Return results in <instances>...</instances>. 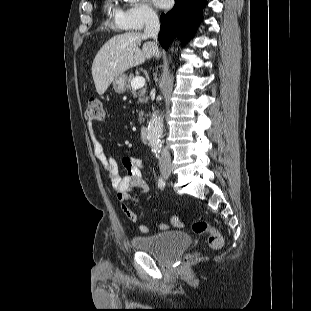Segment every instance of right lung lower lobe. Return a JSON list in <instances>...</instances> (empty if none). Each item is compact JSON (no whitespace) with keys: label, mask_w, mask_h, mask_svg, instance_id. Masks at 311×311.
<instances>
[{"label":"right lung lower lobe","mask_w":311,"mask_h":311,"mask_svg":"<svg viewBox=\"0 0 311 311\" xmlns=\"http://www.w3.org/2000/svg\"><path fill=\"white\" fill-rule=\"evenodd\" d=\"M207 0H175V6L166 14H161L159 42L167 50L171 40L177 36L185 42L195 33L202 20V10Z\"/></svg>","instance_id":"right-lung-lower-lobe-1"}]
</instances>
